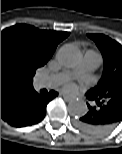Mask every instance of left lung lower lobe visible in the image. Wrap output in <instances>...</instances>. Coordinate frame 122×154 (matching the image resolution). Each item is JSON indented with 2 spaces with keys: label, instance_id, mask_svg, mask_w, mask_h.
Here are the masks:
<instances>
[{
  "label": "left lung lower lobe",
  "instance_id": "0a47b994",
  "mask_svg": "<svg viewBox=\"0 0 122 154\" xmlns=\"http://www.w3.org/2000/svg\"><path fill=\"white\" fill-rule=\"evenodd\" d=\"M86 96L96 105L90 106L87 103L89 111L75 123L78 129L88 134L102 135L111 131L122 121V90L115 91L105 98L87 93Z\"/></svg>",
  "mask_w": 122,
  "mask_h": 154
}]
</instances>
